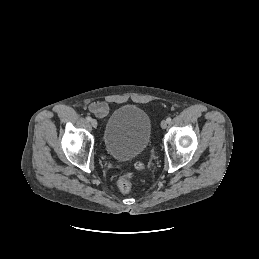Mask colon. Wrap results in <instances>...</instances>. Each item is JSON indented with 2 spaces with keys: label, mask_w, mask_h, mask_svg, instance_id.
Masks as SVG:
<instances>
[{
  "label": "colon",
  "mask_w": 259,
  "mask_h": 259,
  "mask_svg": "<svg viewBox=\"0 0 259 259\" xmlns=\"http://www.w3.org/2000/svg\"><path fill=\"white\" fill-rule=\"evenodd\" d=\"M135 168L137 170L143 169V164L141 162H137L135 164ZM118 188L121 193L128 194L131 191L132 188V174L127 173L122 175L117 182Z\"/></svg>",
  "instance_id": "5ec220e1"
}]
</instances>
